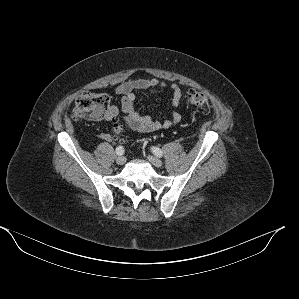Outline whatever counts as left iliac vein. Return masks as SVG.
I'll use <instances>...</instances> for the list:
<instances>
[{"label": "left iliac vein", "mask_w": 299, "mask_h": 299, "mask_svg": "<svg viewBox=\"0 0 299 299\" xmlns=\"http://www.w3.org/2000/svg\"><path fill=\"white\" fill-rule=\"evenodd\" d=\"M148 160L156 167L162 166V161L154 156L149 155Z\"/></svg>", "instance_id": "4c4485c4"}]
</instances>
